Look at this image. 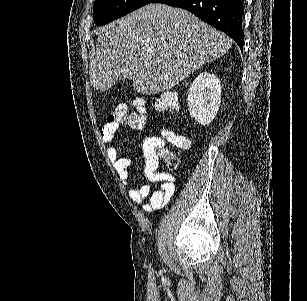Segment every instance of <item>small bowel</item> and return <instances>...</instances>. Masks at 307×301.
Here are the masks:
<instances>
[{
	"instance_id": "obj_1",
	"label": "small bowel",
	"mask_w": 307,
	"mask_h": 301,
	"mask_svg": "<svg viewBox=\"0 0 307 301\" xmlns=\"http://www.w3.org/2000/svg\"><path fill=\"white\" fill-rule=\"evenodd\" d=\"M117 129L118 125L105 123L101 130L102 140L105 143L113 142ZM164 145L165 140L159 136H148L142 142V154L145 160L144 173L150 183L158 184L157 188L152 190L150 185L145 184L128 190L129 199L133 203H141L147 200L142 206V210L146 214L163 209L175 194L174 176L158 170V150ZM107 152L119 179L123 185L127 186L131 159L121 156L119 148L116 146H110Z\"/></svg>"
}]
</instances>
